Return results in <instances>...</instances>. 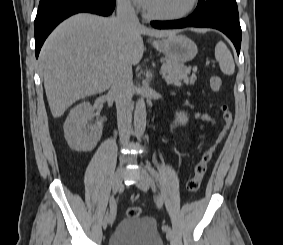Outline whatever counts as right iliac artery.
Returning a JSON list of instances; mask_svg holds the SVG:
<instances>
[{
  "label": "right iliac artery",
  "mask_w": 283,
  "mask_h": 245,
  "mask_svg": "<svg viewBox=\"0 0 283 245\" xmlns=\"http://www.w3.org/2000/svg\"><path fill=\"white\" fill-rule=\"evenodd\" d=\"M110 217L112 219V222L114 221L115 219V216H116V210H117V204H116V199L114 198V196H111L110 197Z\"/></svg>",
  "instance_id": "1"
}]
</instances>
